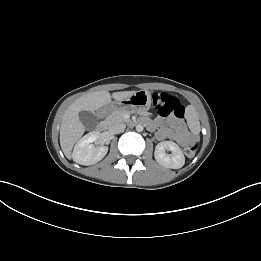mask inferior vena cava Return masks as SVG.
Listing matches in <instances>:
<instances>
[{"instance_id":"602c4592","label":"inferior vena cava","mask_w":261,"mask_h":261,"mask_svg":"<svg viewBox=\"0 0 261 261\" xmlns=\"http://www.w3.org/2000/svg\"><path fill=\"white\" fill-rule=\"evenodd\" d=\"M126 128V125L123 124V123H116V124H113L110 128H109V131L110 133L112 134H118L120 132H123Z\"/></svg>"}]
</instances>
